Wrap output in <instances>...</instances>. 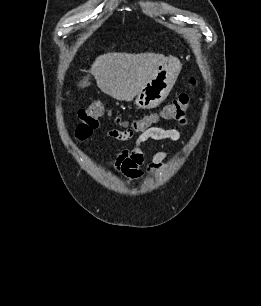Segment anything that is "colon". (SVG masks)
<instances>
[{
	"instance_id": "colon-1",
	"label": "colon",
	"mask_w": 261,
	"mask_h": 306,
	"mask_svg": "<svg viewBox=\"0 0 261 306\" xmlns=\"http://www.w3.org/2000/svg\"><path fill=\"white\" fill-rule=\"evenodd\" d=\"M189 83L194 86L196 81L192 77ZM191 102L192 96L190 94H179L171 103L165 106L160 114H151L135 120L129 127L119 130V132L123 137L130 138L134 133L148 130L159 118L179 120L184 116ZM104 114L105 108L98 101H92L87 108L80 110L78 112L79 123L75 130L76 137L82 141L88 139L92 132L98 128L100 119Z\"/></svg>"
}]
</instances>
